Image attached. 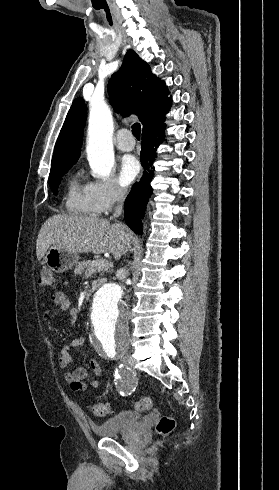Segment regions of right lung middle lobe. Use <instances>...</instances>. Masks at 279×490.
Masks as SVG:
<instances>
[{
  "label": "right lung middle lobe",
  "instance_id": "1",
  "mask_svg": "<svg viewBox=\"0 0 279 490\" xmlns=\"http://www.w3.org/2000/svg\"><path fill=\"white\" fill-rule=\"evenodd\" d=\"M72 167V165L60 167L54 169L50 172L49 185L52 191L57 194L58 185L60 183L61 177Z\"/></svg>",
  "mask_w": 279,
  "mask_h": 490
}]
</instances>
